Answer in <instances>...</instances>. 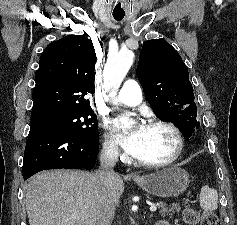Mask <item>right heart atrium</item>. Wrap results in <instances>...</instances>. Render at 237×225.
Returning a JSON list of instances; mask_svg holds the SVG:
<instances>
[{
	"label": "right heart atrium",
	"mask_w": 237,
	"mask_h": 225,
	"mask_svg": "<svg viewBox=\"0 0 237 225\" xmlns=\"http://www.w3.org/2000/svg\"><path fill=\"white\" fill-rule=\"evenodd\" d=\"M103 151L110 158L122 157L115 138L108 131H105L103 135Z\"/></svg>",
	"instance_id": "d8ad5b80"
}]
</instances>
